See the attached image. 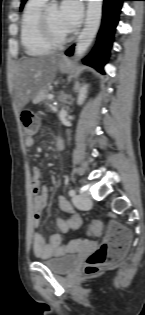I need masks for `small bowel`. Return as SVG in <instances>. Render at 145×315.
<instances>
[{
	"label": "small bowel",
	"instance_id": "c3829d8e",
	"mask_svg": "<svg viewBox=\"0 0 145 315\" xmlns=\"http://www.w3.org/2000/svg\"><path fill=\"white\" fill-rule=\"evenodd\" d=\"M35 144L33 136L25 140L26 147H32ZM41 172L38 167H33L31 170V190L34 195V215L33 226L39 227L40 219L43 210L46 207L47 199L49 197V190L42 186L40 182ZM59 208L68 215L67 219L57 218L55 225L61 233H66L70 229H77L81 224L80 217L75 213L72 206L64 198L60 197L58 200ZM32 246L34 254L40 258H47L50 256H61L66 249L62 244V237L60 234H51L49 240L45 241L44 236L39 232H34L32 236Z\"/></svg>",
	"mask_w": 145,
	"mask_h": 315
}]
</instances>
